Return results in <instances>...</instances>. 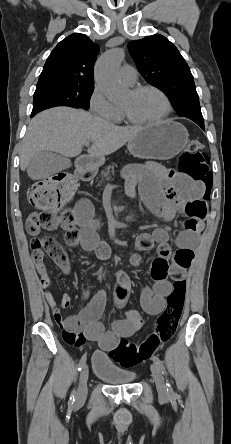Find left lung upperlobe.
Returning a JSON list of instances; mask_svg holds the SVG:
<instances>
[{"mask_svg":"<svg viewBox=\"0 0 231 444\" xmlns=\"http://www.w3.org/2000/svg\"><path fill=\"white\" fill-rule=\"evenodd\" d=\"M128 48L141 75L170 97L180 116L204 122L193 76L172 42L155 34L129 42Z\"/></svg>","mask_w":231,"mask_h":444,"instance_id":"obj_1","label":"left lung upper lobe"}]
</instances>
